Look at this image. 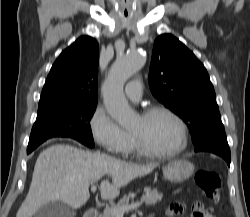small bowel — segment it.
<instances>
[{
  "label": "small bowel",
  "mask_w": 250,
  "mask_h": 217,
  "mask_svg": "<svg viewBox=\"0 0 250 217\" xmlns=\"http://www.w3.org/2000/svg\"><path fill=\"white\" fill-rule=\"evenodd\" d=\"M184 206L181 203H172L170 204L166 210H165V215L167 217H173L176 215H179L183 212ZM204 217H216L210 210H206L204 213Z\"/></svg>",
  "instance_id": "c3829d8e"
}]
</instances>
